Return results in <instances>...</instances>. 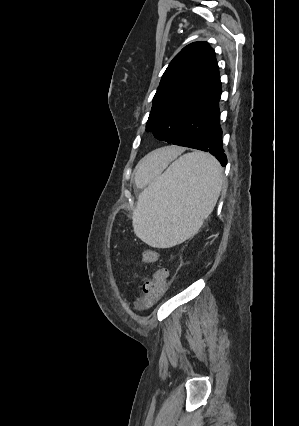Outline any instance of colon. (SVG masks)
<instances>
[{
    "instance_id": "obj_1",
    "label": "colon",
    "mask_w": 299,
    "mask_h": 426,
    "mask_svg": "<svg viewBox=\"0 0 299 426\" xmlns=\"http://www.w3.org/2000/svg\"><path fill=\"white\" fill-rule=\"evenodd\" d=\"M159 253L155 249H149L143 252L142 261L145 264H151L158 260ZM168 270L160 268L153 272L141 287L139 297L140 306L143 309L151 308L163 295L167 285Z\"/></svg>"
}]
</instances>
